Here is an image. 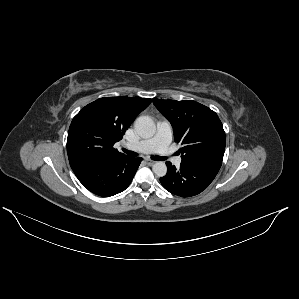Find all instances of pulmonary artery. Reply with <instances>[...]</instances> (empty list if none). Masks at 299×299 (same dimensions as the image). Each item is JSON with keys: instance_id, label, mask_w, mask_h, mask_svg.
Listing matches in <instances>:
<instances>
[{"instance_id": "e3ab8cb5", "label": "pulmonary artery", "mask_w": 299, "mask_h": 299, "mask_svg": "<svg viewBox=\"0 0 299 299\" xmlns=\"http://www.w3.org/2000/svg\"><path fill=\"white\" fill-rule=\"evenodd\" d=\"M172 137V127L168 121H160L158 123V128L156 134L146 140L139 141L135 144L127 145V147L131 150L145 153V154H159L162 157L170 158L171 161L179 166L181 164V157L171 156L170 151V142Z\"/></svg>"}]
</instances>
